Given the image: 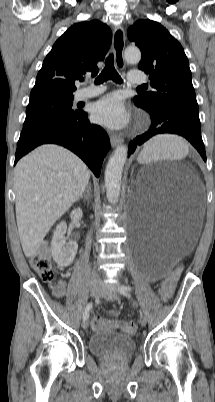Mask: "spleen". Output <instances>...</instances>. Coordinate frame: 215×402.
<instances>
[{
  "label": "spleen",
  "mask_w": 215,
  "mask_h": 402,
  "mask_svg": "<svg viewBox=\"0 0 215 402\" xmlns=\"http://www.w3.org/2000/svg\"><path fill=\"white\" fill-rule=\"evenodd\" d=\"M186 143L179 137L159 136L148 142L141 153L146 161L162 158H179L187 153Z\"/></svg>",
  "instance_id": "3e777b00"
}]
</instances>
